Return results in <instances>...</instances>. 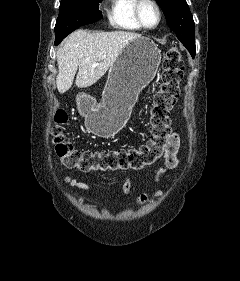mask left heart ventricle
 <instances>
[{"instance_id": "left-heart-ventricle-1", "label": "left heart ventricle", "mask_w": 240, "mask_h": 281, "mask_svg": "<svg viewBox=\"0 0 240 281\" xmlns=\"http://www.w3.org/2000/svg\"><path fill=\"white\" fill-rule=\"evenodd\" d=\"M143 21L148 26H153L157 22V12L155 7L150 3H145L141 8Z\"/></svg>"}]
</instances>
